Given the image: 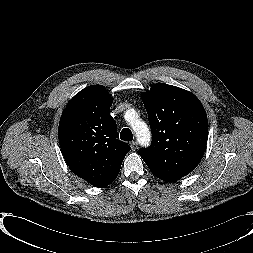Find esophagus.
Wrapping results in <instances>:
<instances>
[{"label":"esophagus","mask_w":253,"mask_h":253,"mask_svg":"<svg viewBox=\"0 0 253 253\" xmlns=\"http://www.w3.org/2000/svg\"><path fill=\"white\" fill-rule=\"evenodd\" d=\"M137 145H138L137 141H132V142L130 143L131 149H132L133 151H135V150L137 149Z\"/></svg>","instance_id":"esophagus-1"}]
</instances>
